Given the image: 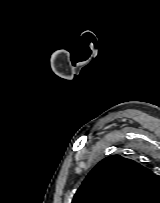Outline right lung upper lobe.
Listing matches in <instances>:
<instances>
[{
  "mask_svg": "<svg viewBox=\"0 0 160 203\" xmlns=\"http://www.w3.org/2000/svg\"><path fill=\"white\" fill-rule=\"evenodd\" d=\"M158 196L157 175L132 159L112 155L93 168L72 203H150Z\"/></svg>",
  "mask_w": 160,
  "mask_h": 203,
  "instance_id": "cb5924a9",
  "label": "right lung upper lobe"
}]
</instances>
